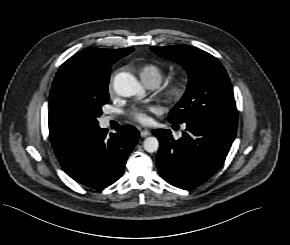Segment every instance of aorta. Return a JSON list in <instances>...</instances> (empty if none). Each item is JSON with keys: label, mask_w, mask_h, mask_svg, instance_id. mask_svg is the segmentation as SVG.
I'll return each mask as SVG.
<instances>
[{"label": "aorta", "mask_w": 290, "mask_h": 245, "mask_svg": "<svg viewBox=\"0 0 290 245\" xmlns=\"http://www.w3.org/2000/svg\"><path fill=\"white\" fill-rule=\"evenodd\" d=\"M115 92L124 97L143 96L145 90L138 80L130 73L122 72L115 76L113 81ZM159 148V141L156 137H148L144 140V149L154 153Z\"/></svg>", "instance_id": "762f6f07"}]
</instances>
